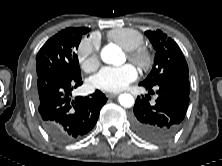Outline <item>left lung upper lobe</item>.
I'll use <instances>...</instances> for the list:
<instances>
[{
  "label": "left lung upper lobe",
  "mask_w": 222,
  "mask_h": 166,
  "mask_svg": "<svg viewBox=\"0 0 222 166\" xmlns=\"http://www.w3.org/2000/svg\"><path fill=\"white\" fill-rule=\"evenodd\" d=\"M145 34L157 53L150 74L140 84L155 86L167 78H189L188 65L176 42L160 30H149Z\"/></svg>",
  "instance_id": "left-lung-upper-lobe-1"
}]
</instances>
